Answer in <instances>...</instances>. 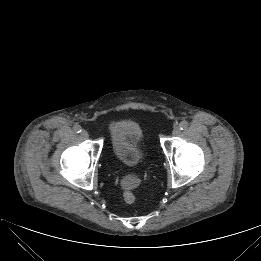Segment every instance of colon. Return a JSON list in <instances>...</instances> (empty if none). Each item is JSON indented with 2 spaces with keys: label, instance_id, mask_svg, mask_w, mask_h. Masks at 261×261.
Segmentation results:
<instances>
[{
  "label": "colon",
  "instance_id": "colon-1",
  "mask_svg": "<svg viewBox=\"0 0 261 261\" xmlns=\"http://www.w3.org/2000/svg\"><path fill=\"white\" fill-rule=\"evenodd\" d=\"M123 200L127 204H132L135 201V195L132 191V186L129 183H125L123 186Z\"/></svg>",
  "mask_w": 261,
  "mask_h": 261
}]
</instances>
